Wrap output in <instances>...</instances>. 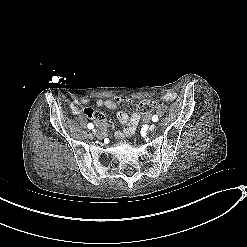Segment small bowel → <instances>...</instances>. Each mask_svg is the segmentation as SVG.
I'll list each match as a JSON object with an SVG mask.
<instances>
[{
	"label": "small bowel",
	"mask_w": 247,
	"mask_h": 247,
	"mask_svg": "<svg viewBox=\"0 0 247 247\" xmlns=\"http://www.w3.org/2000/svg\"><path fill=\"white\" fill-rule=\"evenodd\" d=\"M176 98V93L175 92H168L162 96V100L164 101H173ZM88 97H83L79 99H75L73 103L71 104V113L73 115H85L87 117H90L92 119H96L97 122L102 123L106 119V115L104 112L99 111V112H94L91 109H81L80 105L88 103L89 102ZM122 102H131V99L128 97H123V96H118L115 97L114 99H97L95 101V104L97 107L100 108H106L109 110H115L117 109L118 105ZM96 113V115H95ZM117 120L119 123L122 125V131H118L115 133V137L118 140H122L126 137L132 136L140 123L141 120V115L138 112L132 113L130 116L125 112V111H118L117 112ZM151 119L150 114H146L143 116L144 121H149Z\"/></svg>",
	"instance_id": "c3829d8e"
}]
</instances>
